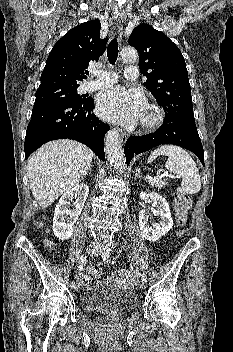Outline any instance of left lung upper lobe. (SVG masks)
Returning <instances> with one entry per match:
<instances>
[{"instance_id":"obj_1","label":"left lung upper lobe","mask_w":233,"mask_h":352,"mask_svg":"<svg viewBox=\"0 0 233 352\" xmlns=\"http://www.w3.org/2000/svg\"><path fill=\"white\" fill-rule=\"evenodd\" d=\"M129 44L139 52L144 83L172 122L195 123L191 88L180 49L163 32L148 24L134 28Z\"/></svg>"}]
</instances>
